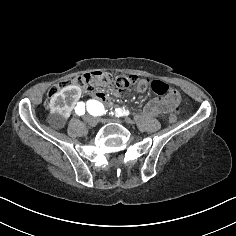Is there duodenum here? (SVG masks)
<instances>
[{"instance_id":"obj_1","label":"duodenum","mask_w":236,"mask_h":236,"mask_svg":"<svg viewBox=\"0 0 236 236\" xmlns=\"http://www.w3.org/2000/svg\"><path fill=\"white\" fill-rule=\"evenodd\" d=\"M95 101L99 102L109 112H116L122 110V106L115 104L110 97L104 92H98L93 95Z\"/></svg>"}]
</instances>
